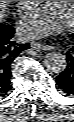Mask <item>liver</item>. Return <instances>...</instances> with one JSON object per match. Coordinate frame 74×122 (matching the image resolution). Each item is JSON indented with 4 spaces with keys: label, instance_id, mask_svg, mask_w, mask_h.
<instances>
[{
    "label": "liver",
    "instance_id": "1",
    "mask_svg": "<svg viewBox=\"0 0 74 122\" xmlns=\"http://www.w3.org/2000/svg\"><path fill=\"white\" fill-rule=\"evenodd\" d=\"M8 2L9 1H0V15H1V18L5 15L4 12L8 6Z\"/></svg>",
    "mask_w": 74,
    "mask_h": 122
}]
</instances>
